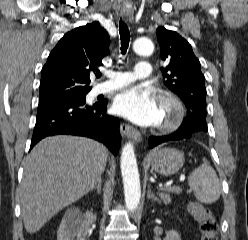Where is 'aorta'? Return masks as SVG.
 I'll return each instance as SVG.
<instances>
[{"label":"aorta","instance_id":"aorta-1","mask_svg":"<svg viewBox=\"0 0 248 240\" xmlns=\"http://www.w3.org/2000/svg\"><path fill=\"white\" fill-rule=\"evenodd\" d=\"M133 50L140 56H149L154 51V45L151 40L140 38L134 41ZM120 167L126 208L129 211H134L140 202L141 188L134 146L131 142L126 143L122 149Z\"/></svg>","mask_w":248,"mask_h":240}]
</instances>
